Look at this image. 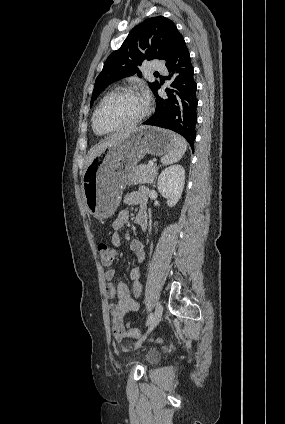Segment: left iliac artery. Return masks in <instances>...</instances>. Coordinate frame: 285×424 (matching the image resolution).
<instances>
[{
    "instance_id": "left-iliac-artery-1",
    "label": "left iliac artery",
    "mask_w": 285,
    "mask_h": 424,
    "mask_svg": "<svg viewBox=\"0 0 285 424\" xmlns=\"http://www.w3.org/2000/svg\"><path fill=\"white\" fill-rule=\"evenodd\" d=\"M152 319H153V313H150V315L148 316L146 325H149L151 323Z\"/></svg>"
}]
</instances>
